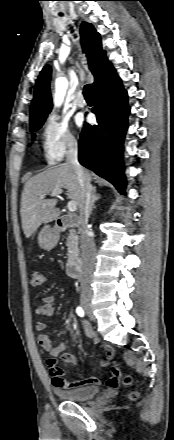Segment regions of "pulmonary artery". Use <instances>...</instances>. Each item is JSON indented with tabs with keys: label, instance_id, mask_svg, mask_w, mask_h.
<instances>
[{
	"label": "pulmonary artery",
	"instance_id": "pulmonary-artery-1",
	"mask_svg": "<svg viewBox=\"0 0 174 440\" xmlns=\"http://www.w3.org/2000/svg\"><path fill=\"white\" fill-rule=\"evenodd\" d=\"M86 100L82 97V95H78V97L76 98V105L80 108H83L86 106Z\"/></svg>",
	"mask_w": 174,
	"mask_h": 440
}]
</instances>
